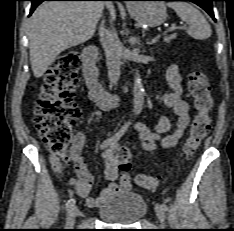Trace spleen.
<instances>
[{"mask_svg":"<svg viewBox=\"0 0 234 231\" xmlns=\"http://www.w3.org/2000/svg\"><path fill=\"white\" fill-rule=\"evenodd\" d=\"M180 19L189 25L187 34L194 39L205 40L211 36V27L202 13L187 2H169Z\"/></svg>","mask_w":234,"mask_h":231,"instance_id":"3e777b00","label":"spleen"}]
</instances>
